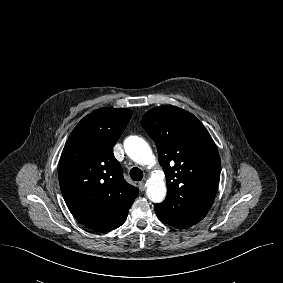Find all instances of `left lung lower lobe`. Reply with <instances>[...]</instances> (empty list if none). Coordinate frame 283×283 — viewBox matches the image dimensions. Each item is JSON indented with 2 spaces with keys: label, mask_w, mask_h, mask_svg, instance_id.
<instances>
[{
  "label": "left lung lower lobe",
  "mask_w": 283,
  "mask_h": 283,
  "mask_svg": "<svg viewBox=\"0 0 283 283\" xmlns=\"http://www.w3.org/2000/svg\"><path fill=\"white\" fill-rule=\"evenodd\" d=\"M163 222V221H162ZM165 223V222H164ZM170 225V224H169ZM171 226H174V227H177V228H187V227H183V226H175V225H171Z\"/></svg>",
  "instance_id": "0a47b994"
}]
</instances>
